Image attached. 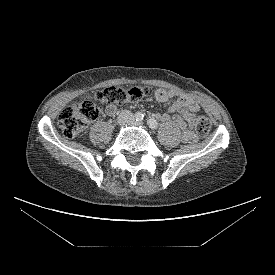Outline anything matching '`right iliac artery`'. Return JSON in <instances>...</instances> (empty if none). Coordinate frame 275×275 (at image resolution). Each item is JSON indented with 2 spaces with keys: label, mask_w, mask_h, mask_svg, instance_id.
I'll return each instance as SVG.
<instances>
[{
  "label": "right iliac artery",
  "mask_w": 275,
  "mask_h": 275,
  "mask_svg": "<svg viewBox=\"0 0 275 275\" xmlns=\"http://www.w3.org/2000/svg\"><path fill=\"white\" fill-rule=\"evenodd\" d=\"M143 117H144V115H143L141 112H137V113L135 114V119H136V121H142V120H143Z\"/></svg>",
  "instance_id": "obj_1"
}]
</instances>
